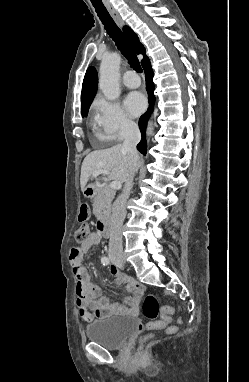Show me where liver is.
<instances>
[{"label":"liver","instance_id":"liver-1","mask_svg":"<svg viewBox=\"0 0 249 382\" xmlns=\"http://www.w3.org/2000/svg\"><path fill=\"white\" fill-rule=\"evenodd\" d=\"M130 166V157L121 144L108 149L93 151L85 157L81 166V190L84 192L89 178L96 177L97 175L93 173L101 169L109 171L110 179L123 183L129 175Z\"/></svg>","mask_w":249,"mask_h":382}]
</instances>
